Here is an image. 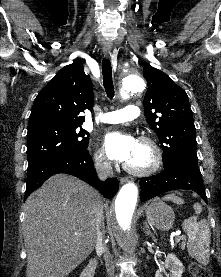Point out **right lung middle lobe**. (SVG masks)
<instances>
[{"instance_id": "right-lung-middle-lobe-1", "label": "right lung middle lobe", "mask_w": 221, "mask_h": 277, "mask_svg": "<svg viewBox=\"0 0 221 277\" xmlns=\"http://www.w3.org/2000/svg\"><path fill=\"white\" fill-rule=\"evenodd\" d=\"M87 135V136H86ZM89 134L79 124H44L28 126V170L37 165L86 150Z\"/></svg>"}]
</instances>
